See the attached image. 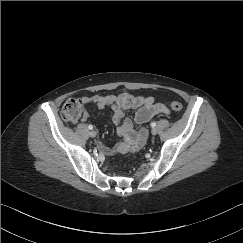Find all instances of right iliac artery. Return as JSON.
Wrapping results in <instances>:
<instances>
[{"label":"right iliac artery","mask_w":243,"mask_h":243,"mask_svg":"<svg viewBox=\"0 0 243 243\" xmlns=\"http://www.w3.org/2000/svg\"><path fill=\"white\" fill-rule=\"evenodd\" d=\"M88 128H89L90 130H92V129H93V126H92V125H89Z\"/></svg>","instance_id":"right-iliac-artery-1"}]
</instances>
